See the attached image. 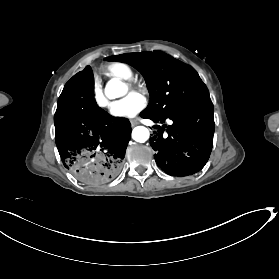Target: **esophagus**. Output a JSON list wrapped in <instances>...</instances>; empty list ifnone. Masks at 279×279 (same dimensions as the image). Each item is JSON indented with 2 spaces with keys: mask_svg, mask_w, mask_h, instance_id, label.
I'll use <instances>...</instances> for the list:
<instances>
[{
  "mask_svg": "<svg viewBox=\"0 0 279 279\" xmlns=\"http://www.w3.org/2000/svg\"><path fill=\"white\" fill-rule=\"evenodd\" d=\"M130 122H131L132 126H135L138 124V121L136 119H131Z\"/></svg>",
  "mask_w": 279,
  "mask_h": 279,
  "instance_id": "esophagus-1",
  "label": "esophagus"
}]
</instances>
